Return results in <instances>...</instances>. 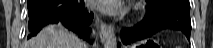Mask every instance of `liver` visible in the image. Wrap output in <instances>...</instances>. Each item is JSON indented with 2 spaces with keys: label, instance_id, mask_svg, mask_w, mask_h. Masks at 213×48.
<instances>
[{
  "label": "liver",
  "instance_id": "1",
  "mask_svg": "<svg viewBox=\"0 0 213 48\" xmlns=\"http://www.w3.org/2000/svg\"><path fill=\"white\" fill-rule=\"evenodd\" d=\"M24 48H87L74 33L59 25L44 27Z\"/></svg>",
  "mask_w": 213,
  "mask_h": 48
}]
</instances>
